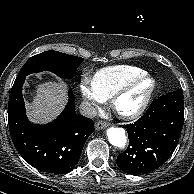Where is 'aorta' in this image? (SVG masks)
<instances>
[{
    "label": "aorta",
    "mask_w": 194,
    "mask_h": 194,
    "mask_svg": "<svg viewBox=\"0 0 194 194\" xmlns=\"http://www.w3.org/2000/svg\"><path fill=\"white\" fill-rule=\"evenodd\" d=\"M107 137L109 142L119 148H124L127 142L125 130L117 127H110L107 129Z\"/></svg>",
    "instance_id": "1"
}]
</instances>
